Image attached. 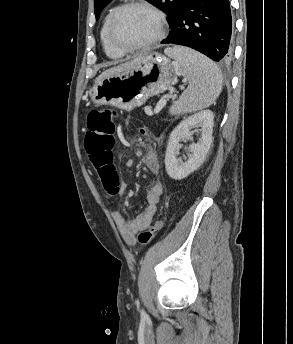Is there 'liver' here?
<instances>
[{
    "instance_id": "liver-1",
    "label": "liver",
    "mask_w": 293,
    "mask_h": 344,
    "mask_svg": "<svg viewBox=\"0 0 293 344\" xmlns=\"http://www.w3.org/2000/svg\"><path fill=\"white\" fill-rule=\"evenodd\" d=\"M145 55L146 54L137 56L134 59H132L131 61H127L125 63H121L118 66H114V67H111V68L103 71L95 79V83L99 82V81H102L103 79H105L107 77H110V76H113V75H116V74H119V73H122L124 71L132 69L133 67H135L136 65H138L142 61V59L144 58Z\"/></svg>"
}]
</instances>
